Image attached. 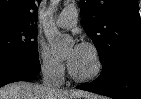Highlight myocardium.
<instances>
[{
    "mask_svg": "<svg viewBox=\"0 0 141 99\" xmlns=\"http://www.w3.org/2000/svg\"><path fill=\"white\" fill-rule=\"evenodd\" d=\"M85 49H87L93 57L94 60V69L86 75H78L76 74L71 66L68 67V72L71 78L77 82H90L95 80L103 70V60L99 50L91 43H83L82 45Z\"/></svg>",
    "mask_w": 141,
    "mask_h": 99,
    "instance_id": "obj_1",
    "label": "myocardium"
}]
</instances>
